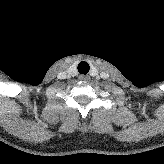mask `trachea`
<instances>
[{"label": "trachea", "instance_id": "trachea-1", "mask_svg": "<svg viewBox=\"0 0 164 164\" xmlns=\"http://www.w3.org/2000/svg\"><path fill=\"white\" fill-rule=\"evenodd\" d=\"M89 69H90L89 64L85 61H82L78 64V72L80 74L86 75L89 72Z\"/></svg>", "mask_w": 164, "mask_h": 164}]
</instances>
